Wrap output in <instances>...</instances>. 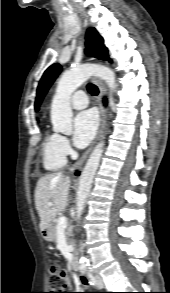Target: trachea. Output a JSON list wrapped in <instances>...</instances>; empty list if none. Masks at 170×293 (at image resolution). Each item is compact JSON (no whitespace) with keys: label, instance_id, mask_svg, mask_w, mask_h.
I'll use <instances>...</instances> for the list:
<instances>
[{"label":"trachea","instance_id":"3493384b","mask_svg":"<svg viewBox=\"0 0 170 293\" xmlns=\"http://www.w3.org/2000/svg\"><path fill=\"white\" fill-rule=\"evenodd\" d=\"M87 90L93 96H97L98 93H99L98 88L94 84H88L87 85Z\"/></svg>","mask_w":170,"mask_h":293}]
</instances>
